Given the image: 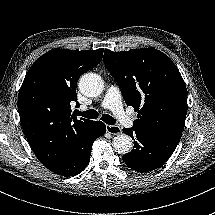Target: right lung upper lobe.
Segmentation results:
<instances>
[{"instance_id":"1","label":"right lung upper lobe","mask_w":215,"mask_h":215,"mask_svg":"<svg viewBox=\"0 0 215 215\" xmlns=\"http://www.w3.org/2000/svg\"><path fill=\"white\" fill-rule=\"evenodd\" d=\"M103 49H53L27 72L18 95L23 132L36 157L48 169L64 157L71 133L90 120L71 115L79 77L101 62ZM78 104V103H77Z\"/></svg>"}]
</instances>
